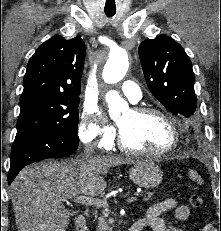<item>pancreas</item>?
I'll return each instance as SVG.
<instances>
[{
	"mask_svg": "<svg viewBox=\"0 0 221 231\" xmlns=\"http://www.w3.org/2000/svg\"><path fill=\"white\" fill-rule=\"evenodd\" d=\"M152 196H153V193L145 192L144 200L149 201L151 200ZM109 213L110 211L108 210V208L104 207L102 211L103 216H100L98 218V226H97L98 231H112V227L109 226V223H113L114 220L112 218H109L107 220Z\"/></svg>",
	"mask_w": 221,
	"mask_h": 231,
	"instance_id": "pancreas-1",
	"label": "pancreas"
}]
</instances>
